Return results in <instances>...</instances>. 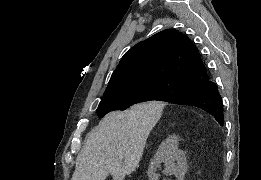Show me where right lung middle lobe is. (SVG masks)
<instances>
[{"label": "right lung middle lobe", "mask_w": 261, "mask_h": 180, "mask_svg": "<svg viewBox=\"0 0 261 180\" xmlns=\"http://www.w3.org/2000/svg\"><path fill=\"white\" fill-rule=\"evenodd\" d=\"M200 83L171 79L159 80L143 84L126 86L104 93L97 108V113L103 117L114 110H125L129 106L152 100L168 102L174 97L198 90Z\"/></svg>", "instance_id": "1"}]
</instances>
